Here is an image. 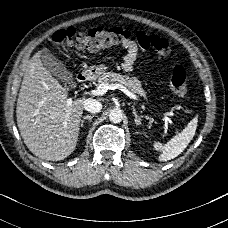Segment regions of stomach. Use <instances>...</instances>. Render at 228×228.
Listing matches in <instances>:
<instances>
[{"label": "stomach", "instance_id": "obj_1", "mask_svg": "<svg viewBox=\"0 0 228 228\" xmlns=\"http://www.w3.org/2000/svg\"><path fill=\"white\" fill-rule=\"evenodd\" d=\"M105 65L92 66L89 69L85 70L83 73L90 79H96L106 70Z\"/></svg>", "mask_w": 228, "mask_h": 228}]
</instances>
